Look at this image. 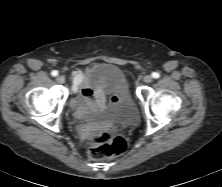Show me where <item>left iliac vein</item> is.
<instances>
[{
    "instance_id": "1",
    "label": "left iliac vein",
    "mask_w": 222,
    "mask_h": 187,
    "mask_svg": "<svg viewBox=\"0 0 222 187\" xmlns=\"http://www.w3.org/2000/svg\"><path fill=\"white\" fill-rule=\"evenodd\" d=\"M152 80H153V78H152L151 75H146V76H144V78H143V81H144L145 83H147V84L151 83Z\"/></svg>"
}]
</instances>
